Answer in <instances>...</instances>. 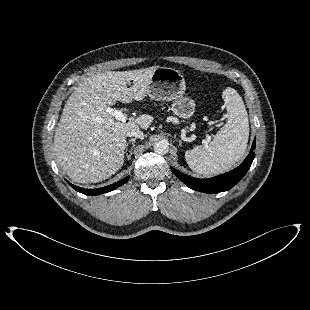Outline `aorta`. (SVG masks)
<instances>
[{
	"mask_svg": "<svg viewBox=\"0 0 310 310\" xmlns=\"http://www.w3.org/2000/svg\"><path fill=\"white\" fill-rule=\"evenodd\" d=\"M154 152L157 154H167L169 151V143L165 140L155 142L154 144Z\"/></svg>",
	"mask_w": 310,
	"mask_h": 310,
	"instance_id": "762f6f07",
	"label": "aorta"
}]
</instances>
